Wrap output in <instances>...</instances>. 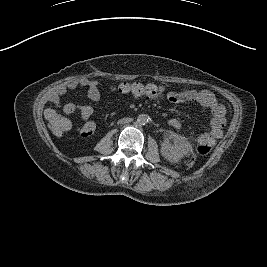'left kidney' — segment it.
<instances>
[{"mask_svg":"<svg viewBox=\"0 0 267 267\" xmlns=\"http://www.w3.org/2000/svg\"><path fill=\"white\" fill-rule=\"evenodd\" d=\"M160 152L164 159L170 163H178L182 157L181 152L168 142L162 143Z\"/></svg>","mask_w":267,"mask_h":267,"instance_id":"left-kidney-1","label":"left kidney"}]
</instances>
